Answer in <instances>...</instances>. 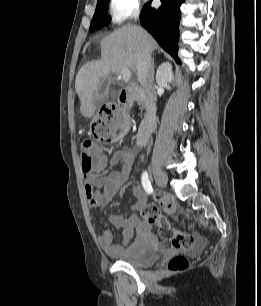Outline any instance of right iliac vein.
Instances as JSON below:
<instances>
[{
	"mask_svg": "<svg viewBox=\"0 0 261 306\" xmlns=\"http://www.w3.org/2000/svg\"><path fill=\"white\" fill-rule=\"evenodd\" d=\"M152 173L154 175L157 185L160 187H166L167 176L165 175V173L157 166L152 167Z\"/></svg>",
	"mask_w": 261,
	"mask_h": 306,
	"instance_id": "obj_1",
	"label": "right iliac vein"
}]
</instances>
